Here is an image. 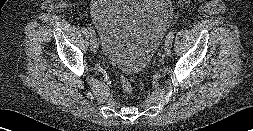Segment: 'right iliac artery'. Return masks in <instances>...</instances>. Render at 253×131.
Returning <instances> with one entry per match:
<instances>
[{
    "label": "right iliac artery",
    "instance_id": "82829eb1",
    "mask_svg": "<svg viewBox=\"0 0 253 131\" xmlns=\"http://www.w3.org/2000/svg\"><path fill=\"white\" fill-rule=\"evenodd\" d=\"M86 26H87V27H86L87 30L90 32V34H91V36H92V34H94L93 28L90 26V24H87ZM90 44H91V45H94V44H95V41H94V40H91V41H90Z\"/></svg>",
    "mask_w": 253,
    "mask_h": 131
}]
</instances>
